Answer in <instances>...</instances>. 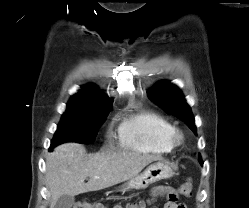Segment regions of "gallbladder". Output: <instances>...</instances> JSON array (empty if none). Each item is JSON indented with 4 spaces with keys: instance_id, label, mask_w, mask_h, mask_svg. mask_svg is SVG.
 <instances>
[{
    "instance_id": "gallbladder-1",
    "label": "gallbladder",
    "mask_w": 249,
    "mask_h": 208,
    "mask_svg": "<svg viewBox=\"0 0 249 208\" xmlns=\"http://www.w3.org/2000/svg\"><path fill=\"white\" fill-rule=\"evenodd\" d=\"M75 202L74 196L62 195L56 202L54 208H72Z\"/></svg>"
}]
</instances>
